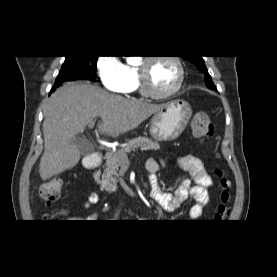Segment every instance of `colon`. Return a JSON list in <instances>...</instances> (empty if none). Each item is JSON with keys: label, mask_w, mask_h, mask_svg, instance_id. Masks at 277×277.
I'll return each mask as SVG.
<instances>
[{"label": "colon", "mask_w": 277, "mask_h": 277, "mask_svg": "<svg viewBox=\"0 0 277 277\" xmlns=\"http://www.w3.org/2000/svg\"><path fill=\"white\" fill-rule=\"evenodd\" d=\"M190 127L194 137L201 141H208L213 137L214 126L209 115L204 111H198L193 115ZM216 173L220 177L222 191L214 219L216 222H224L231 212L230 182L222 171L218 170ZM62 187L63 182L60 178H52L40 186V196L45 202L53 203L61 196Z\"/></svg>", "instance_id": "5ec220e1"}]
</instances>
